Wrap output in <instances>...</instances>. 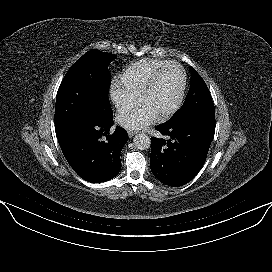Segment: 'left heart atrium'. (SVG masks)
<instances>
[{"instance_id": "1", "label": "left heart atrium", "mask_w": 272, "mask_h": 272, "mask_svg": "<svg viewBox=\"0 0 272 272\" xmlns=\"http://www.w3.org/2000/svg\"><path fill=\"white\" fill-rule=\"evenodd\" d=\"M158 118V114L147 104L140 103L135 108L121 113L118 123L127 129H143L153 123Z\"/></svg>"}]
</instances>
